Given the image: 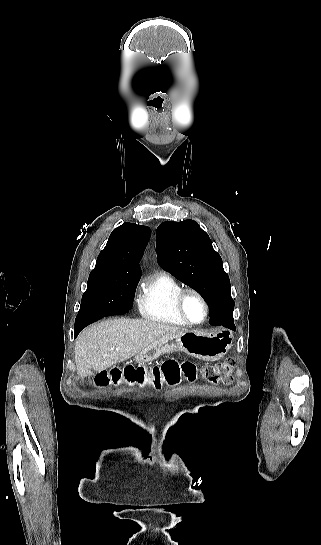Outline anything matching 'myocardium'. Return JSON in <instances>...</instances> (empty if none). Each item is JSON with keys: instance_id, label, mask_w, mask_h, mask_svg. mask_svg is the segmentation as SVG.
I'll return each instance as SVG.
<instances>
[{"instance_id": "myocardium-1", "label": "myocardium", "mask_w": 321, "mask_h": 545, "mask_svg": "<svg viewBox=\"0 0 321 545\" xmlns=\"http://www.w3.org/2000/svg\"><path fill=\"white\" fill-rule=\"evenodd\" d=\"M187 294L196 295L200 299V301H201V303H202V305L204 307V316H203L202 320L199 321V322L192 321L186 315V313L184 311L183 303H184V299H185ZM173 307H174V312H175L176 316L183 323H185L187 326H192V327L200 326V325L204 324L206 322V320L208 319L209 312H210L209 304H208L205 296L199 290H197L195 288H191V287L183 288L175 295Z\"/></svg>"}]
</instances>
